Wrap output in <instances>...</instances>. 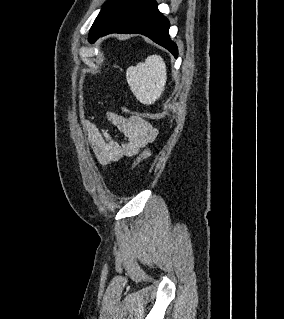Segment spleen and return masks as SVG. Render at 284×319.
Here are the masks:
<instances>
[{
  "instance_id": "3e777b00",
  "label": "spleen",
  "mask_w": 284,
  "mask_h": 319,
  "mask_svg": "<svg viewBox=\"0 0 284 319\" xmlns=\"http://www.w3.org/2000/svg\"><path fill=\"white\" fill-rule=\"evenodd\" d=\"M126 79L132 93L143 104H152L164 91L167 80V69L159 55H151L145 62L130 66Z\"/></svg>"
}]
</instances>
